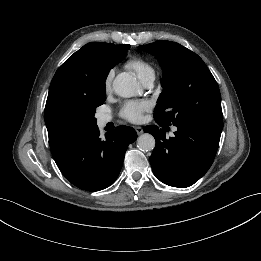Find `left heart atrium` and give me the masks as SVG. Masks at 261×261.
<instances>
[{"instance_id": "1", "label": "left heart atrium", "mask_w": 261, "mask_h": 261, "mask_svg": "<svg viewBox=\"0 0 261 261\" xmlns=\"http://www.w3.org/2000/svg\"><path fill=\"white\" fill-rule=\"evenodd\" d=\"M150 108L151 104L148 101H127L120 110V116L129 122L137 123L143 119L144 112Z\"/></svg>"}]
</instances>
